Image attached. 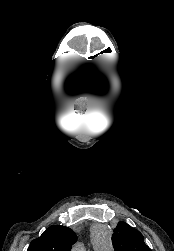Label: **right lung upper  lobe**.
Here are the masks:
<instances>
[{
    "label": "right lung upper lobe",
    "instance_id": "1",
    "mask_svg": "<svg viewBox=\"0 0 174 251\" xmlns=\"http://www.w3.org/2000/svg\"><path fill=\"white\" fill-rule=\"evenodd\" d=\"M75 242L76 235L70 228L53 225L34 239L27 251H71Z\"/></svg>",
    "mask_w": 174,
    "mask_h": 251
}]
</instances>
